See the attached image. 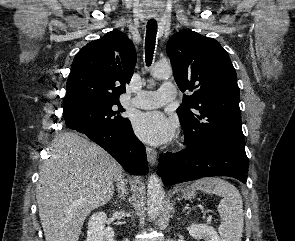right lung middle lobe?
I'll return each mask as SVG.
<instances>
[{
    "label": "right lung middle lobe",
    "mask_w": 295,
    "mask_h": 241,
    "mask_svg": "<svg viewBox=\"0 0 295 241\" xmlns=\"http://www.w3.org/2000/svg\"><path fill=\"white\" fill-rule=\"evenodd\" d=\"M118 106V108L116 106ZM124 112L120 102L90 104L63 112L66 126L69 128L86 124H104L114 128H124L129 120L120 115Z\"/></svg>",
    "instance_id": "1"
}]
</instances>
